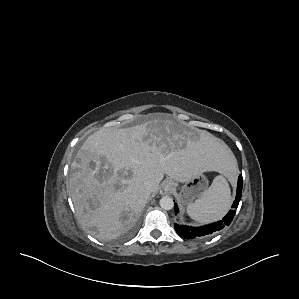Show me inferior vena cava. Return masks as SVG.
Returning <instances> with one entry per match:
<instances>
[{"label":"inferior vena cava","mask_w":299,"mask_h":299,"mask_svg":"<svg viewBox=\"0 0 299 299\" xmlns=\"http://www.w3.org/2000/svg\"><path fill=\"white\" fill-rule=\"evenodd\" d=\"M145 186H146L147 190L151 191V183L150 182H146Z\"/></svg>","instance_id":"1"}]
</instances>
